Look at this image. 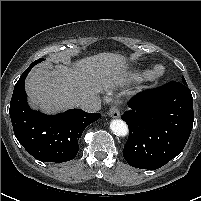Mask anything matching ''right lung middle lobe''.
<instances>
[{
    "instance_id": "right-lung-middle-lobe-1",
    "label": "right lung middle lobe",
    "mask_w": 201,
    "mask_h": 201,
    "mask_svg": "<svg viewBox=\"0 0 201 201\" xmlns=\"http://www.w3.org/2000/svg\"><path fill=\"white\" fill-rule=\"evenodd\" d=\"M43 60H44V59H38V60L34 61L32 64L36 65V64L42 62Z\"/></svg>"
}]
</instances>
